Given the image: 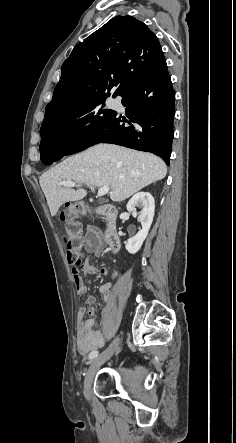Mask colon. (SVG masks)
I'll use <instances>...</instances> for the list:
<instances>
[{
  "label": "colon",
  "instance_id": "colon-1",
  "mask_svg": "<svg viewBox=\"0 0 236 443\" xmlns=\"http://www.w3.org/2000/svg\"><path fill=\"white\" fill-rule=\"evenodd\" d=\"M76 214L85 215L86 208L85 206H72L66 205L59 212V221L65 225V248H66V257L69 263L73 264L72 268L80 269L79 265L83 260V252L82 245L83 240L80 235L81 226L78 224L74 217Z\"/></svg>",
  "mask_w": 236,
  "mask_h": 443
}]
</instances>
